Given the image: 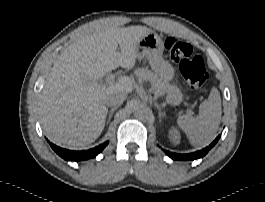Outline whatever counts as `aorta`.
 <instances>
[{
    "instance_id": "1",
    "label": "aorta",
    "mask_w": 265,
    "mask_h": 202,
    "mask_svg": "<svg viewBox=\"0 0 265 202\" xmlns=\"http://www.w3.org/2000/svg\"><path fill=\"white\" fill-rule=\"evenodd\" d=\"M134 114L140 119H145L149 114V108L146 104L139 103L134 108Z\"/></svg>"
}]
</instances>
